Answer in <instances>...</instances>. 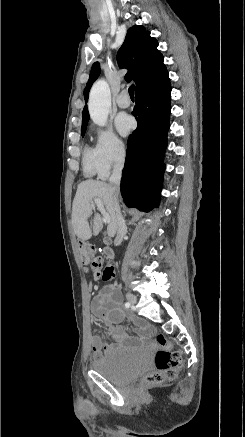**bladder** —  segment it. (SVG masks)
Listing matches in <instances>:
<instances>
[{
	"label": "bladder",
	"instance_id": "bladder-1",
	"mask_svg": "<svg viewBox=\"0 0 245 437\" xmlns=\"http://www.w3.org/2000/svg\"><path fill=\"white\" fill-rule=\"evenodd\" d=\"M151 358L147 348H114L94 360L92 368L112 383L125 384L147 370Z\"/></svg>",
	"mask_w": 245,
	"mask_h": 437
}]
</instances>
